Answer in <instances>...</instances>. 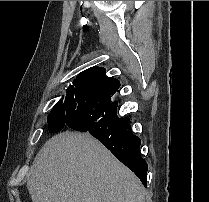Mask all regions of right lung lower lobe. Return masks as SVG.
I'll use <instances>...</instances> for the list:
<instances>
[{
  "label": "right lung lower lobe",
  "mask_w": 209,
  "mask_h": 202,
  "mask_svg": "<svg viewBox=\"0 0 209 202\" xmlns=\"http://www.w3.org/2000/svg\"><path fill=\"white\" fill-rule=\"evenodd\" d=\"M119 87L117 79L106 75L90 81L80 92L78 113L65 125L100 140L146 187L148 165L140 155L141 140L132 133L130 118L117 116L118 102H112Z\"/></svg>",
  "instance_id": "98d812e1"
}]
</instances>
